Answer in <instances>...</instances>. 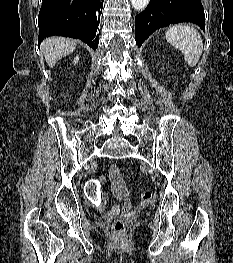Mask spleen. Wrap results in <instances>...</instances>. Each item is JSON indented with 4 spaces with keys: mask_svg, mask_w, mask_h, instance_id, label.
<instances>
[{
    "mask_svg": "<svg viewBox=\"0 0 233 263\" xmlns=\"http://www.w3.org/2000/svg\"><path fill=\"white\" fill-rule=\"evenodd\" d=\"M165 37L171 45L181 51L190 67L196 66L203 51L201 35L196 29L182 24L175 25L166 31Z\"/></svg>",
    "mask_w": 233,
    "mask_h": 263,
    "instance_id": "spleen-1",
    "label": "spleen"
}]
</instances>
